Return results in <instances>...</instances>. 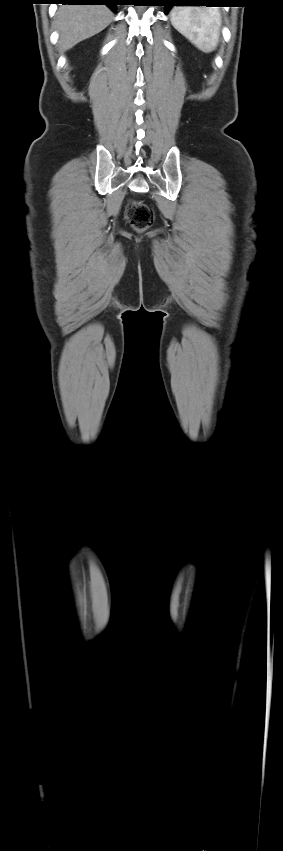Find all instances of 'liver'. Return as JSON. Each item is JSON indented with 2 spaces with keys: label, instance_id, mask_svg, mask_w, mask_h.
Instances as JSON below:
<instances>
[{
  "label": "liver",
  "instance_id": "6515ba94",
  "mask_svg": "<svg viewBox=\"0 0 283 851\" xmlns=\"http://www.w3.org/2000/svg\"><path fill=\"white\" fill-rule=\"evenodd\" d=\"M113 20V13L104 5H69L59 7L56 28L59 50L65 52L79 42L104 30Z\"/></svg>",
  "mask_w": 283,
  "mask_h": 851
}]
</instances>
